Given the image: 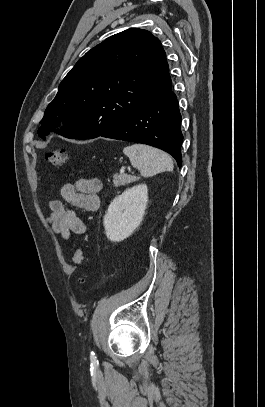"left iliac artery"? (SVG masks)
Returning a JSON list of instances; mask_svg holds the SVG:
<instances>
[{
  "label": "left iliac artery",
  "instance_id": "obj_1",
  "mask_svg": "<svg viewBox=\"0 0 265 407\" xmlns=\"http://www.w3.org/2000/svg\"><path fill=\"white\" fill-rule=\"evenodd\" d=\"M90 359H91L92 362H96V361H97V360H96L95 353H94L93 351L90 352Z\"/></svg>",
  "mask_w": 265,
  "mask_h": 407
}]
</instances>
